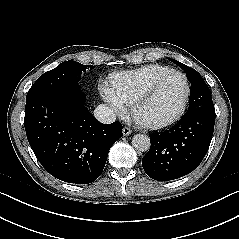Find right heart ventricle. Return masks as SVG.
Wrapping results in <instances>:
<instances>
[{
	"mask_svg": "<svg viewBox=\"0 0 239 239\" xmlns=\"http://www.w3.org/2000/svg\"><path fill=\"white\" fill-rule=\"evenodd\" d=\"M170 70L166 66L151 64L135 70L117 73L110 79L111 88L125 105H131L156 77Z\"/></svg>",
	"mask_w": 239,
	"mask_h": 239,
	"instance_id": "e07e8e85",
	"label": "right heart ventricle"
}]
</instances>
